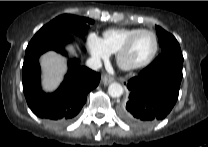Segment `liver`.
<instances>
[{
  "mask_svg": "<svg viewBox=\"0 0 208 147\" xmlns=\"http://www.w3.org/2000/svg\"><path fill=\"white\" fill-rule=\"evenodd\" d=\"M66 50L72 57L77 56V47L73 44L67 43ZM40 65L42 67V87L46 92L55 90L64 75L67 72V60L63 56L54 51H48L40 58Z\"/></svg>",
  "mask_w": 208,
  "mask_h": 147,
  "instance_id": "liver-1",
  "label": "liver"
}]
</instances>
